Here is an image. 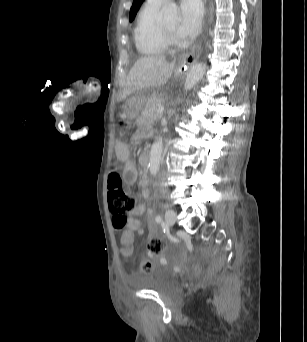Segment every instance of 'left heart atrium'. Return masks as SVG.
Listing matches in <instances>:
<instances>
[{"instance_id": "1", "label": "left heart atrium", "mask_w": 307, "mask_h": 342, "mask_svg": "<svg viewBox=\"0 0 307 342\" xmlns=\"http://www.w3.org/2000/svg\"><path fill=\"white\" fill-rule=\"evenodd\" d=\"M203 10L197 1H187L181 5V20L175 30L179 43H190L199 33Z\"/></svg>"}]
</instances>
